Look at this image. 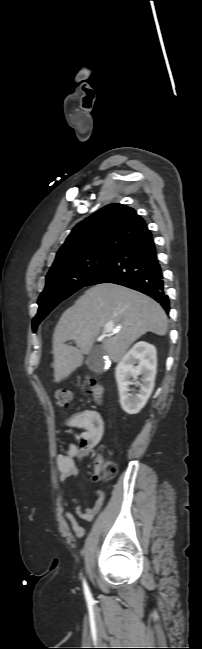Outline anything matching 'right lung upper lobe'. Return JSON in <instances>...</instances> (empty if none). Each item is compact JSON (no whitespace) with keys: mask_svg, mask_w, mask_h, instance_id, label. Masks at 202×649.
Masks as SVG:
<instances>
[{"mask_svg":"<svg viewBox=\"0 0 202 649\" xmlns=\"http://www.w3.org/2000/svg\"><path fill=\"white\" fill-rule=\"evenodd\" d=\"M149 232L145 221L133 208L112 203L74 227L53 264L89 251L117 253Z\"/></svg>","mask_w":202,"mask_h":649,"instance_id":"right-lung-upper-lobe-1","label":"right lung upper lobe"}]
</instances>
